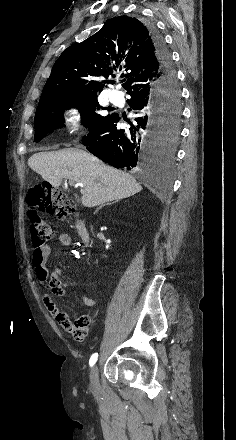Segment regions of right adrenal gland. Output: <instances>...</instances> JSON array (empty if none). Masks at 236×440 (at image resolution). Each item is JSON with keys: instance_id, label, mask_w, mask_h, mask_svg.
I'll return each mask as SVG.
<instances>
[{"instance_id": "right-adrenal-gland-1", "label": "right adrenal gland", "mask_w": 236, "mask_h": 440, "mask_svg": "<svg viewBox=\"0 0 236 440\" xmlns=\"http://www.w3.org/2000/svg\"><path fill=\"white\" fill-rule=\"evenodd\" d=\"M117 201H118V200H116L115 202H117ZM115 202H112V203H115ZM109 204H111V203H109ZM103 206H104V205L100 206V207L97 209V211H98L99 209H101Z\"/></svg>"}]
</instances>
